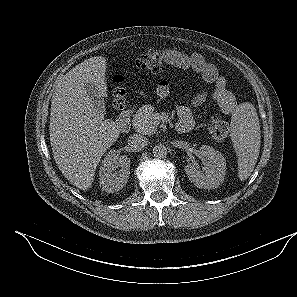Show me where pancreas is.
Returning <instances> with one entry per match:
<instances>
[{"label": "pancreas", "instance_id": "1", "mask_svg": "<svg viewBox=\"0 0 297 297\" xmlns=\"http://www.w3.org/2000/svg\"><path fill=\"white\" fill-rule=\"evenodd\" d=\"M157 116L159 114L154 112V108L151 105H144L134 115L132 126L137 132L144 135L154 134L159 123Z\"/></svg>", "mask_w": 297, "mask_h": 297}]
</instances>
